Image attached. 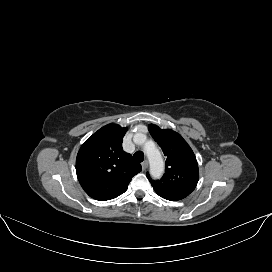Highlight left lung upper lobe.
<instances>
[{
    "label": "left lung upper lobe",
    "instance_id": "obj_1",
    "mask_svg": "<svg viewBox=\"0 0 272 272\" xmlns=\"http://www.w3.org/2000/svg\"><path fill=\"white\" fill-rule=\"evenodd\" d=\"M149 132L166 156L165 174L160 180L147 177L161 197L178 201L187 197L199 179L196 157L187 142L177 132L149 124Z\"/></svg>",
    "mask_w": 272,
    "mask_h": 272
}]
</instances>
